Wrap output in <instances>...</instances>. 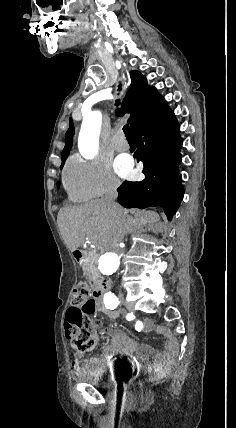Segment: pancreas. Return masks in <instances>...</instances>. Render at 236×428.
Listing matches in <instances>:
<instances>
[{
    "mask_svg": "<svg viewBox=\"0 0 236 428\" xmlns=\"http://www.w3.org/2000/svg\"><path fill=\"white\" fill-rule=\"evenodd\" d=\"M100 254H95V256H92V258H89L88 262H84L82 264V270L86 276H88L89 280H92L94 282V286H99V280L100 274L97 270V264L99 260Z\"/></svg>",
    "mask_w": 236,
    "mask_h": 428,
    "instance_id": "obj_1",
    "label": "pancreas"
}]
</instances>
